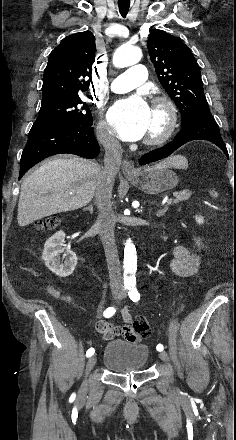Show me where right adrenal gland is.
<instances>
[{
	"instance_id": "right-adrenal-gland-1",
	"label": "right adrenal gland",
	"mask_w": 236,
	"mask_h": 440,
	"mask_svg": "<svg viewBox=\"0 0 236 440\" xmlns=\"http://www.w3.org/2000/svg\"><path fill=\"white\" fill-rule=\"evenodd\" d=\"M84 210H88L92 214L93 213V206L86 207Z\"/></svg>"
}]
</instances>
